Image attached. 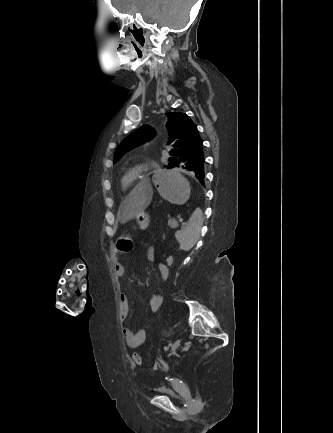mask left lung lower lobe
<instances>
[{
	"label": "left lung lower lobe",
	"mask_w": 333,
	"mask_h": 433,
	"mask_svg": "<svg viewBox=\"0 0 333 433\" xmlns=\"http://www.w3.org/2000/svg\"><path fill=\"white\" fill-rule=\"evenodd\" d=\"M204 162L205 158L202 140L200 139L182 154V156L175 162L174 168H180L188 171L202 184H204Z\"/></svg>",
	"instance_id": "1"
}]
</instances>
